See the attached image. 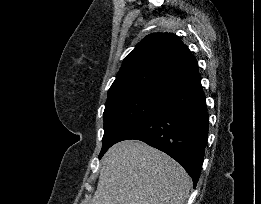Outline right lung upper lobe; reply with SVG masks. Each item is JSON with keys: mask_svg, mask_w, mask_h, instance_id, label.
I'll list each match as a JSON object with an SVG mask.
<instances>
[{"mask_svg": "<svg viewBox=\"0 0 261 204\" xmlns=\"http://www.w3.org/2000/svg\"><path fill=\"white\" fill-rule=\"evenodd\" d=\"M197 73L195 57L177 35L153 33L124 59L108 96L139 90L167 93Z\"/></svg>", "mask_w": 261, "mask_h": 204, "instance_id": "right-lung-upper-lobe-1", "label": "right lung upper lobe"}]
</instances>
